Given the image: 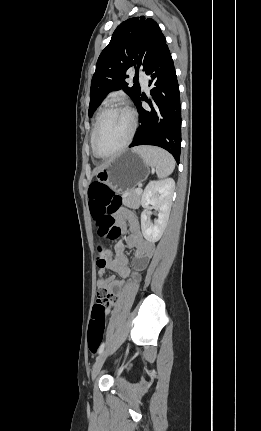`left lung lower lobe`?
Listing matches in <instances>:
<instances>
[{
    "instance_id": "1",
    "label": "left lung lower lobe",
    "mask_w": 261,
    "mask_h": 431,
    "mask_svg": "<svg viewBox=\"0 0 261 431\" xmlns=\"http://www.w3.org/2000/svg\"><path fill=\"white\" fill-rule=\"evenodd\" d=\"M150 77L151 99L139 95L135 101L139 127L131 145H154L170 152L179 164L181 150V106L177 76L168 46H164L145 71ZM142 100L150 108L143 109Z\"/></svg>"
}]
</instances>
